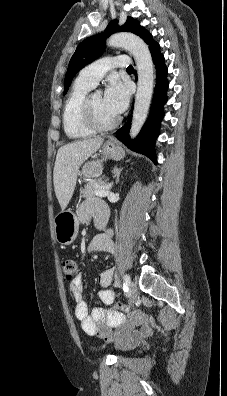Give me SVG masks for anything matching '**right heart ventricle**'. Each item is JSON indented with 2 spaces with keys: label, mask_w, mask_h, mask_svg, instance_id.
<instances>
[{
  "label": "right heart ventricle",
  "mask_w": 227,
  "mask_h": 396,
  "mask_svg": "<svg viewBox=\"0 0 227 396\" xmlns=\"http://www.w3.org/2000/svg\"><path fill=\"white\" fill-rule=\"evenodd\" d=\"M91 88L92 86L78 78L65 101L62 122L64 131L70 139L87 138L94 133L85 123L82 114L83 101Z\"/></svg>",
  "instance_id": "obj_1"
}]
</instances>
